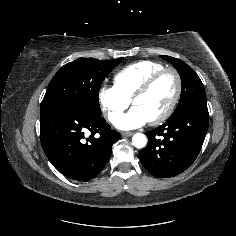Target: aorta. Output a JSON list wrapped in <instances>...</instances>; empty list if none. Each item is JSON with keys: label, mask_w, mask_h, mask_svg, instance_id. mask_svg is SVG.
Segmentation results:
<instances>
[{"label": "aorta", "mask_w": 236, "mask_h": 236, "mask_svg": "<svg viewBox=\"0 0 236 236\" xmlns=\"http://www.w3.org/2000/svg\"><path fill=\"white\" fill-rule=\"evenodd\" d=\"M132 143L136 148H143L147 144V137L142 133H136L132 137Z\"/></svg>", "instance_id": "obj_1"}]
</instances>
